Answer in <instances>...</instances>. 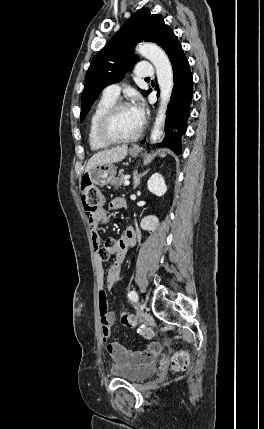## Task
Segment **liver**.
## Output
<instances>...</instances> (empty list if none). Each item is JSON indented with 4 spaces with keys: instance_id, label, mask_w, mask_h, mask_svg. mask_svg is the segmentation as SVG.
Segmentation results:
<instances>
[{
    "instance_id": "liver-1",
    "label": "liver",
    "mask_w": 264,
    "mask_h": 429,
    "mask_svg": "<svg viewBox=\"0 0 264 429\" xmlns=\"http://www.w3.org/2000/svg\"><path fill=\"white\" fill-rule=\"evenodd\" d=\"M127 153V145L117 146L97 152L89 159L85 172H89L92 168L98 165L120 162L127 156Z\"/></svg>"
}]
</instances>
